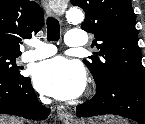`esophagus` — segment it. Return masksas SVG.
<instances>
[{
    "label": "esophagus",
    "mask_w": 145,
    "mask_h": 124,
    "mask_svg": "<svg viewBox=\"0 0 145 124\" xmlns=\"http://www.w3.org/2000/svg\"><path fill=\"white\" fill-rule=\"evenodd\" d=\"M43 3L45 4L47 11H53L57 16H61L63 14V9H57L53 5H50V0H43ZM57 115L62 121L66 123H70L74 120L73 115L69 113L63 106L57 109Z\"/></svg>",
    "instance_id": "obj_1"
}]
</instances>
